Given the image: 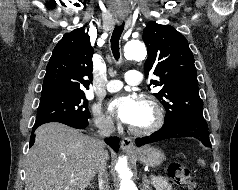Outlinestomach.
Returning <instances> with one entry per match:
<instances>
[{
    "instance_id": "0dacf381",
    "label": "stomach",
    "mask_w": 238,
    "mask_h": 190,
    "mask_svg": "<svg viewBox=\"0 0 238 190\" xmlns=\"http://www.w3.org/2000/svg\"><path fill=\"white\" fill-rule=\"evenodd\" d=\"M134 155L141 163L149 167H157L165 159L161 150L150 146L138 149Z\"/></svg>"
}]
</instances>
